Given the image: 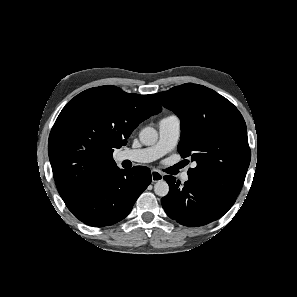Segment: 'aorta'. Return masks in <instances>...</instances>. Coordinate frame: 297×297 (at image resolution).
Returning a JSON list of instances; mask_svg holds the SVG:
<instances>
[{"instance_id": "762f6f07", "label": "aorta", "mask_w": 297, "mask_h": 297, "mask_svg": "<svg viewBox=\"0 0 297 297\" xmlns=\"http://www.w3.org/2000/svg\"><path fill=\"white\" fill-rule=\"evenodd\" d=\"M139 139L143 145L151 146L157 142L158 133L154 128L146 127L140 132ZM154 192L160 197L166 196L169 192L168 183L164 180L157 181L154 185Z\"/></svg>"}]
</instances>
